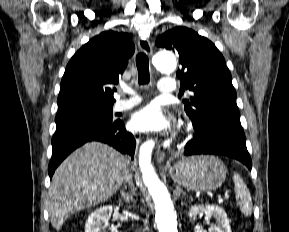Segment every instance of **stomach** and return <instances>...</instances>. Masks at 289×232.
<instances>
[{"label": "stomach", "instance_id": "stomach-1", "mask_svg": "<svg viewBox=\"0 0 289 232\" xmlns=\"http://www.w3.org/2000/svg\"><path fill=\"white\" fill-rule=\"evenodd\" d=\"M227 168L214 156H195L177 162L169 169L174 182L194 191H212L225 180Z\"/></svg>", "mask_w": 289, "mask_h": 232}]
</instances>
